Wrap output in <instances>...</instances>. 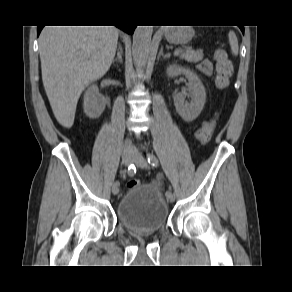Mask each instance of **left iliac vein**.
Returning a JSON list of instances; mask_svg holds the SVG:
<instances>
[{
    "mask_svg": "<svg viewBox=\"0 0 292 292\" xmlns=\"http://www.w3.org/2000/svg\"><path fill=\"white\" fill-rule=\"evenodd\" d=\"M133 158H134L133 159L134 163L140 168L146 169L149 167L147 160L140 153L136 152ZM166 197H167L168 202L170 203L174 202L175 200V195L172 192L166 195Z\"/></svg>",
    "mask_w": 292,
    "mask_h": 292,
    "instance_id": "4c4485c4",
    "label": "left iliac vein"
}]
</instances>
